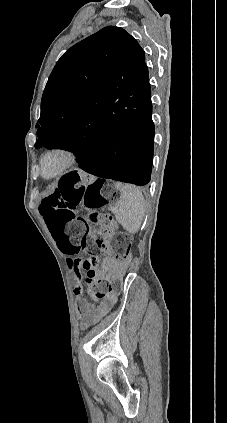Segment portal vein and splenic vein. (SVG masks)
Here are the masks:
<instances>
[{
    "instance_id": "18ae733b",
    "label": "portal vein and splenic vein",
    "mask_w": 227,
    "mask_h": 423,
    "mask_svg": "<svg viewBox=\"0 0 227 423\" xmlns=\"http://www.w3.org/2000/svg\"><path fill=\"white\" fill-rule=\"evenodd\" d=\"M111 212H112V213H115V212H116V206H115V205H112V206H111Z\"/></svg>"
}]
</instances>
